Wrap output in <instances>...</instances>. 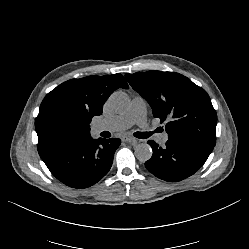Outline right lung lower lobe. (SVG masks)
<instances>
[{"mask_svg":"<svg viewBox=\"0 0 249 249\" xmlns=\"http://www.w3.org/2000/svg\"><path fill=\"white\" fill-rule=\"evenodd\" d=\"M120 143L118 138L95 140L84 136L60 145L41 158L62 183L73 188H87L108 173Z\"/></svg>","mask_w":249,"mask_h":249,"instance_id":"1","label":"right lung lower lobe"}]
</instances>
